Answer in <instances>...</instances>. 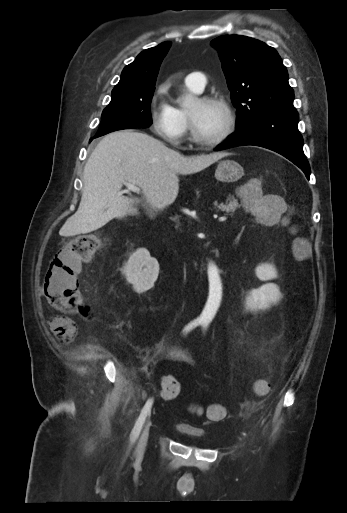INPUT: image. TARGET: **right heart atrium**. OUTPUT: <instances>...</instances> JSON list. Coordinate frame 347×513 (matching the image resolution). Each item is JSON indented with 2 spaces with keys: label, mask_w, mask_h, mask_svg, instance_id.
I'll return each instance as SVG.
<instances>
[{
  "label": "right heart atrium",
  "mask_w": 347,
  "mask_h": 513,
  "mask_svg": "<svg viewBox=\"0 0 347 513\" xmlns=\"http://www.w3.org/2000/svg\"><path fill=\"white\" fill-rule=\"evenodd\" d=\"M165 86L161 85L150 108L151 127L154 133L166 143L180 147L188 132V121L164 99Z\"/></svg>",
  "instance_id": "1"
}]
</instances>
